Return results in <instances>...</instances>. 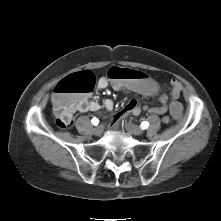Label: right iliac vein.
<instances>
[{
    "mask_svg": "<svg viewBox=\"0 0 221 221\" xmlns=\"http://www.w3.org/2000/svg\"><path fill=\"white\" fill-rule=\"evenodd\" d=\"M93 132L96 136H100L103 133V126L99 125V126L95 127Z\"/></svg>",
    "mask_w": 221,
    "mask_h": 221,
    "instance_id": "1",
    "label": "right iliac vein"
}]
</instances>
